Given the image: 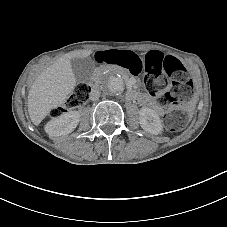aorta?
I'll list each match as a JSON object with an SVG mask.
<instances>
[{
  "instance_id": "1",
  "label": "aorta",
  "mask_w": 227,
  "mask_h": 227,
  "mask_svg": "<svg viewBox=\"0 0 227 227\" xmlns=\"http://www.w3.org/2000/svg\"><path fill=\"white\" fill-rule=\"evenodd\" d=\"M100 87L110 94H119L124 91L123 77L114 71L105 73L100 81Z\"/></svg>"
}]
</instances>
